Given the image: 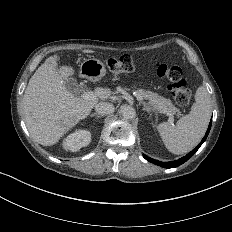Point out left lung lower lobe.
I'll use <instances>...</instances> for the list:
<instances>
[{"instance_id": "1", "label": "left lung lower lobe", "mask_w": 232, "mask_h": 232, "mask_svg": "<svg viewBox=\"0 0 232 232\" xmlns=\"http://www.w3.org/2000/svg\"><path fill=\"white\" fill-rule=\"evenodd\" d=\"M211 124H212V120L210 121V124H209V127L207 129V132L205 134V136L203 137L202 141L198 144V146L193 149L191 152H189L186 156L178 159V160H175V161H170V162H162V161H158V160H155V159H152L146 155H143L144 158L153 163V164H156L158 166H161L163 168H174V167H178L180 165H182L183 163H185L187 160H189L196 152L197 150L199 149V147L204 143V141L206 140L208 134H209V131H210V128H211Z\"/></svg>"}]
</instances>
